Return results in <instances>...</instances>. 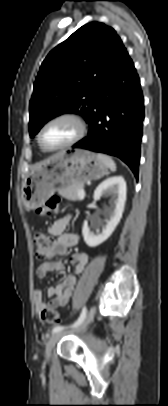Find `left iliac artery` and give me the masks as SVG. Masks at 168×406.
Returning <instances> with one entry per match:
<instances>
[{
	"label": "left iliac artery",
	"instance_id": "1",
	"mask_svg": "<svg viewBox=\"0 0 168 406\" xmlns=\"http://www.w3.org/2000/svg\"><path fill=\"white\" fill-rule=\"evenodd\" d=\"M86 314H87V309H86V307H84V308L82 309V312H81L80 317L77 319V321H76L71 327H72V328L78 327V326L84 321V319H85V317H86ZM65 328H66L65 326H61V325L55 326V327L53 328V330H52V333H56V332L62 331V330H64Z\"/></svg>",
	"mask_w": 168,
	"mask_h": 406
}]
</instances>
